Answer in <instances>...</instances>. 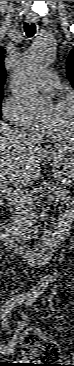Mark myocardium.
<instances>
[{
	"label": "myocardium",
	"mask_w": 74,
	"mask_h": 366,
	"mask_svg": "<svg viewBox=\"0 0 74 366\" xmlns=\"http://www.w3.org/2000/svg\"><path fill=\"white\" fill-rule=\"evenodd\" d=\"M57 106L58 107L69 106L72 114L73 136L70 138L69 137L62 138L59 137L56 133H53L51 131H47V134L54 142L74 146V100L71 97H65L58 102Z\"/></svg>",
	"instance_id": "1"
}]
</instances>
